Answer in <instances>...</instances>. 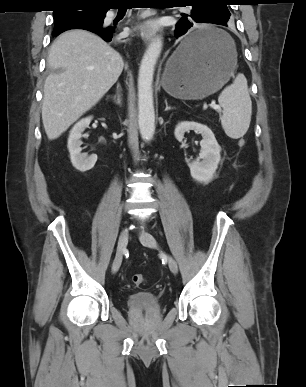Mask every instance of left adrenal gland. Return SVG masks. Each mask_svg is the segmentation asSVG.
<instances>
[{"label":"left adrenal gland","instance_id":"obj_1","mask_svg":"<svg viewBox=\"0 0 306 387\" xmlns=\"http://www.w3.org/2000/svg\"><path fill=\"white\" fill-rule=\"evenodd\" d=\"M165 105H166L165 111L176 109V107H171L168 105L167 99H165Z\"/></svg>","mask_w":306,"mask_h":387}]
</instances>
